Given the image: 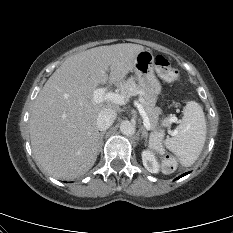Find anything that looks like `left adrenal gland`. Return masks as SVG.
<instances>
[{
	"mask_svg": "<svg viewBox=\"0 0 233 233\" xmlns=\"http://www.w3.org/2000/svg\"><path fill=\"white\" fill-rule=\"evenodd\" d=\"M142 138H145V142L148 141V132L147 130L145 129V127H142Z\"/></svg>",
	"mask_w": 233,
	"mask_h": 233,
	"instance_id": "obj_1",
	"label": "left adrenal gland"
}]
</instances>
